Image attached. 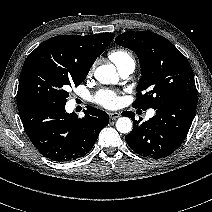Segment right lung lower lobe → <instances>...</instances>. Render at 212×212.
Masks as SVG:
<instances>
[{
	"label": "right lung lower lobe",
	"mask_w": 212,
	"mask_h": 212,
	"mask_svg": "<svg viewBox=\"0 0 212 212\" xmlns=\"http://www.w3.org/2000/svg\"><path fill=\"white\" fill-rule=\"evenodd\" d=\"M17 106L33 145L44 157L57 162L85 156L109 123L107 113L90 106L81 119L66 113L65 104L48 100L18 99Z\"/></svg>",
	"instance_id": "1"
}]
</instances>
